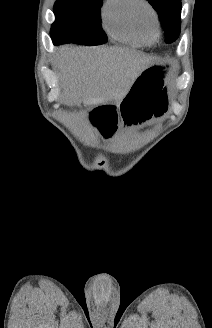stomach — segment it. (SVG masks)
Wrapping results in <instances>:
<instances>
[{
	"instance_id": "1",
	"label": "stomach",
	"mask_w": 212,
	"mask_h": 328,
	"mask_svg": "<svg viewBox=\"0 0 212 328\" xmlns=\"http://www.w3.org/2000/svg\"><path fill=\"white\" fill-rule=\"evenodd\" d=\"M166 71L164 63L144 68L132 83L121 102H90L84 110L83 119L89 128H98L97 134L105 140L114 139L122 124L140 127L150 123L155 116H162L168 108Z\"/></svg>"
}]
</instances>
